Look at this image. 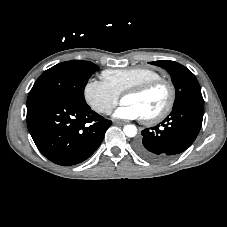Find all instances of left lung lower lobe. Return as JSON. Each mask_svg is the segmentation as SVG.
Returning <instances> with one entry per match:
<instances>
[{
    "label": "left lung lower lobe",
    "mask_w": 227,
    "mask_h": 227,
    "mask_svg": "<svg viewBox=\"0 0 227 227\" xmlns=\"http://www.w3.org/2000/svg\"><path fill=\"white\" fill-rule=\"evenodd\" d=\"M200 102H186L172 108L160 124L144 129L134 144L139 156L152 162H164L182 153L196 139L203 120Z\"/></svg>",
    "instance_id": "left-lung-lower-lobe-1"
}]
</instances>
